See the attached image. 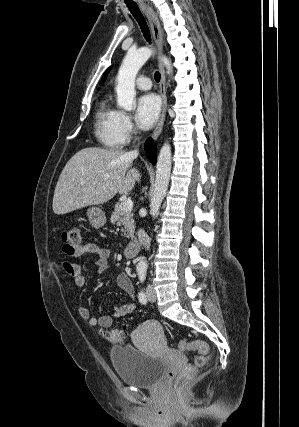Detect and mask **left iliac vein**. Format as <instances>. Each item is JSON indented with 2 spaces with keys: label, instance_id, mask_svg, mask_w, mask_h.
<instances>
[{
  "label": "left iliac vein",
  "instance_id": "left-iliac-vein-1",
  "mask_svg": "<svg viewBox=\"0 0 299 427\" xmlns=\"http://www.w3.org/2000/svg\"><path fill=\"white\" fill-rule=\"evenodd\" d=\"M147 297H148V300L150 302H152V303H154L156 301V299H157L156 293H155V291H154V289H153V287H152L151 284H149L147 286Z\"/></svg>",
  "mask_w": 299,
  "mask_h": 427
}]
</instances>
